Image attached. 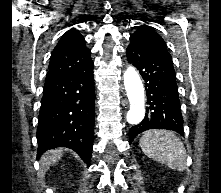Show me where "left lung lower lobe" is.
<instances>
[{"instance_id": "left-lung-lower-lobe-1", "label": "left lung lower lobe", "mask_w": 221, "mask_h": 193, "mask_svg": "<svg viewBox=\"0 0 221 193\" xmlns=\"http://www.w3.org/2000/svg\"><path fill=\"white\" fill-rule=\"evenodd\" d=\"M127 57L145 80L148 105L145 118L129 129V143L148 129H167L183 135V119L172 60L133 43L127 48Z\"/></svg>"}]
</instances>
